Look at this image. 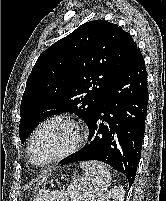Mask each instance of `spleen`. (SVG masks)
<instances>
[{"instance_id":"spleen-1","label":"spleen","mask_w":166,"mask_h":201,"mask_svg":"<svg viewBox=\"0 0 166 201\" xmlns=\"http://www.w3.org/2000/svg\"><path fill=\"white\" fill-rule=\"evenodd\" d=\"M79 165L84 171V176L68 186V197H64V192L47 190L39 193L40 201H99L110 186L109 171L102 164L94 161L80 162Z\"/></svg>"}]
</instances>
